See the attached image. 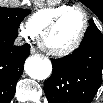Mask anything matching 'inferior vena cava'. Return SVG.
<instances>
[{"mask_svg":"<svg viewBox=\"0 0 103 103\" xmlns=\"http://www.w3.org/2000/svg\"><path fill=\"white\" fill-rule=\"evenodd\" d=\"M16 44H22V42H20V39H18L17 41H16Z\"/></svg>","mask_w":103,"mask_h":103,"instance_id":"obj_1","label":"inferior vena cava"}]
</instances>
